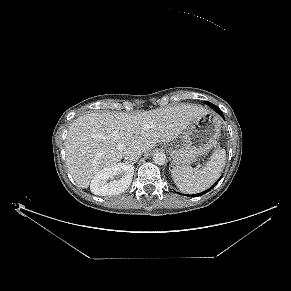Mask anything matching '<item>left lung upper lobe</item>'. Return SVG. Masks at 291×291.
<instances>
[{"label": "left lung upper lobe", "instance_id": "left-lung-upper-lobe-1", "mask_svg": "<svg viewBox=\"0 0 291 291\" xmlns=\"http://www.w3.org/2000/svg\"><path fill=\"white\" fill-rule=\"evenodd\" d=\"M206 104H207L208 106H210L211 108H212L213 106H215L214 104H212V103H210V102H208V101H206Z\"/></svg>", "mask_w": 291, "mask_h": 291}]
</instances>
